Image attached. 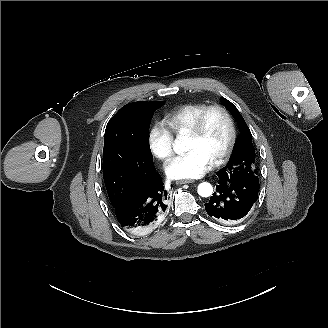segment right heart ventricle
I'll use <instances>...</instances> for the list:
<instances>
[{
	"label": "right heart ventricle",
	"mask_w": 328,
	"mask_h": 328,
	"mask_svg": "<svg viewBox=\"0 0 328 328\" xmlns=\"http://www.w3.org/2000/svg\"><path fill=\"white\" fill-rule=\"evenodd\" d=\"M208 107L206 103H191L181 106L163 117V123L173 135L187 133L197 117Z\"/></svg>",
	"instance_id": "right-heart-ventricle-1"
}]
</instances>
